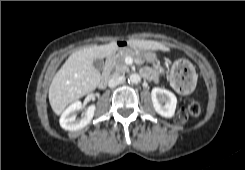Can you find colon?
<instances>
[{
  "label": "colon",
  "instance_id": "obj_1",
  "mask_svg": "<svg viewBox=\"0 0 245 170\" xmlns=\"http://www.w3.org/2000/svg\"><path fill=\"white\" fill-rule=\"evenodd\" d=\"M190 71V64L185 60H179L172 66L171 82L174 85H180L188 81V73ZM201 112V106L198 102H190L186 108L180 109L175 115L178 124H184L190 117H196Z\"/></svg>",
  "mask_w": 245,
  "mask_h": 170
}]
</instances>
